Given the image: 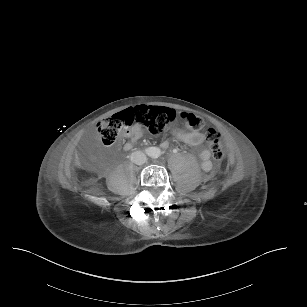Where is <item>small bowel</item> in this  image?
Here are the masks:
<instances>
[{"mask_svg":"<svg viewBox=\"0 0 307 307\" xmlns=\"http://www.w3.org/2000/svg\"><path fill=\"white\" fill-rule=\"evenodd\" d=\"M176 139L179 141L193 145L198 146L203 143L204 141V135L199 131H184V130H175L173 132ZM127 135L131 138L130 141L125 145V148L127 150L131 149L137 140L142 136V130L140 127L135 126L132 129H130L127 132ZM163 148H168L169 143L167 141L162 143ZM199 158L202 161V167L204 169H209L210 167V151L207 149H204L199 152L198 154Z\"/></svg>","mask_w":307,"mask_h":307,"instance_id":"c3829d8e","label":"small bowel"}]
</instances>
